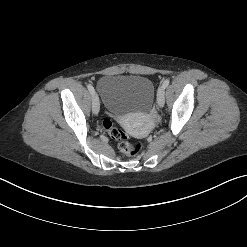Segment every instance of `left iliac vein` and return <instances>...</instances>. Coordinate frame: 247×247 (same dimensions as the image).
I'll return each mask as SVG.
<instances>
[{
  "label": "left iliac vein",
  "instance_id": "obj_1",
  "mask_svg": "<svg viewBox=\"0 0 247 247\" xmlns=\"http://www.w3.org/2000/svg\"><path fill=\"white\" fill-rule=\"evenodd\" d=\"M164 88L161 86L157 92V104L159 107H163L164 106V102H165V94H164Z\"/></svg>",
  "mask_w": 247,
  "mask_h": 247
}]
</instances>
